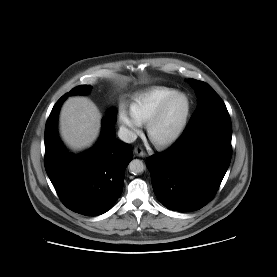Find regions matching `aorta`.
Returning <instances> with one entry per match:
<instances>
[{"label":"aorta","mask_w":277,"mask_h":277,"mask_svg":"<svg viewBox=\"0 0 277 277\" xmlns=\"http://www.w3.org/2000/svg\"><path fill=\"white\" fill-rule=\"evenodd\" d=\"M145 169L144 163L139 159H134L129 164V171L136 175L143 172Z\"/></svg>","instance_id":"1"}]
</instances>
